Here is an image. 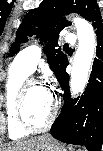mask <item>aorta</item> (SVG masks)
<instances>
[{
    "mask_svg": "<svg viewBox=\"0 0 103 151\" xmlns=\"http://www.w3.org/2000/svg\"><path fill=\"white\" fill-rule=\"evenodd\" d=\"M78 36V49L72 63L70 88L72 95L82 92L89 79V71L96 50V36L92 25L80 17L73 19Z\"/></svg>",
    "mask_w": 103,
    "mask_h": 151,
    "instance_id": "aorta-1",
    "label": "aorta"
}]
</instances>
